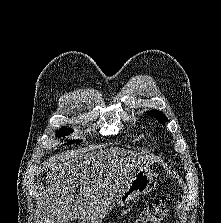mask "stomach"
<instances>
[{
	"instance_id": "stomach-1",
	"label": "stomach",
	"mask_w": 221,
	"mask_h": 223,
	"mask_svg": "<svg viewBox=\"0 0 221 223\" xmlns=\"http://www.w3.org/2000/svg\"><path fill=\"white\" fill-rule=\"evenodd\" d=\"M153 176L154 173L151 169L147 167L139 169L134 174L126 190L118 196L115 205L124 206L137 196L144 194L152 184Z\"/></svg>"
}]
</instances>
